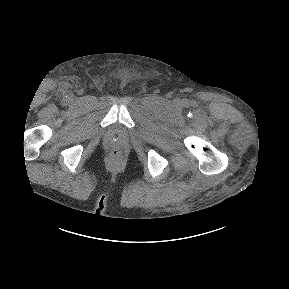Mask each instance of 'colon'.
I'll list each match as a JSON object with an SVG mask.
<instances>
[{"instance_id": "5ec220e1", "label": "colon", "mask_w": 289, "mask_h": 289, "mask_svg": "<svg viewBox=\"0 0 289 289\" xmlns=\"http://www.w3.org/2000/svg\"><path fill=\"white\" fill-rule=\"evenodd\" d=\"M110 156H111V158L117 160V159L120 158L121 152H120L118 149H113V150H111V152H110Z\"/></svg>"}]
</instances>
